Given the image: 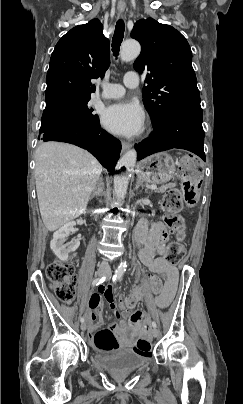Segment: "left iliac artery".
I'll use <instances>...</instances> for the list:
<instances>
[{
    "instance_id": "obj_1",
    "label": "left iliac artery",
    "mask_w": 243,
    "mask_h": 404,
    "mask_svg": "<svg viewBox=\"0 0 243 404\" xmlns=\"http://www.w3.org/2000/svg\"><path fill=\"white\" fill-rule=\"evenodd\" d=\"M122 276H123V272H117L115 277L113 278V282H117V281L121 280ZM152 326H153V328H156L157 327L156 322L153 321Z\"/></svg>"
}]
</instances>
